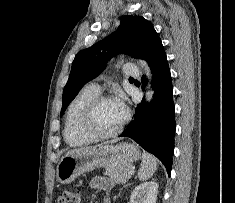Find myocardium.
<instances>
[{
    "instance_id": "f54148a6",
    "label": "myocardium",
    "mask_w": 235,
    "mask_h": 203,
    "mask_svg": "<svg viewBox=\"0 0 235 203\" xmlns=\"http://www.w3.org/2000/svg\"><path fill=\"white\" fill-rule=\"evenodd\" d=\"M113 100L109 95L98 94L86 105L82 118H81V129L84 133L91 136L95 140L97 139H108L117 136L122 132L125 125L130 118V112L127 108H124L125 114L121 123L112 131L102 132L99 131L94 124V115L97 107L104 101Z\"/></svg>"
}]
</instances>
